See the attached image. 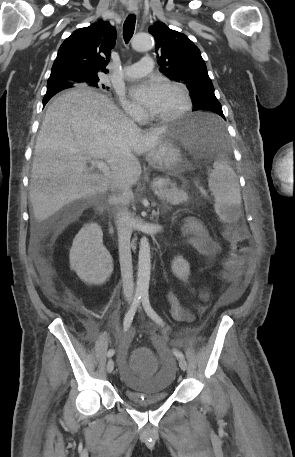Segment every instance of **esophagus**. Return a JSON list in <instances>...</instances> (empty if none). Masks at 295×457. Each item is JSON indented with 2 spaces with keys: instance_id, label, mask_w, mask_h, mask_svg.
<instances>
[{
  "instance_id": "esophagus-1",
  "label": "esophagus",
  "mask_w": 295,
  "mask_h": 457,
  "mask_svg": "<svg viewBox=\"0 0 295 457\" xmlns=\"http://www.w3.org/2000/svg\"><path fill=\"white\" fill-rule=\"evenodd\" d=\"M128 10L131 14H138V7L136 5L129 6Z\"/></svg>"
}]
</instances>
